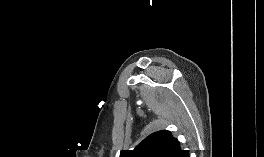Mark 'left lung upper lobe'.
Segmentation results:
<instances>
[{"label": "left lung upper lobe", "instance_id": "1", "mask_svg": "<svg viewBox=\"0 0 264 157\" xmlns=\"http://www.w3.org/2000/svg\"><path fill=\"white\" fill-rule=\"evenodd\" d=\"M120 157H189V154L169 131L162 130L146 137L133 150H122Z\"/></svg>", "mask_w": 264, "mask_h": 157}]
</instances>
